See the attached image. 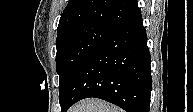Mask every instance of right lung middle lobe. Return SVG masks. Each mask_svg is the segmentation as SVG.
<instances>
[{
	"label": "right lung middle lobe",
	"instance_id": "1",
	"mask_svg": "<svg viewBox=\"0 0 193 112\" xmlns=\"http://www.w3.org/2000/svg\"><path fill=\"white\" fill-rule=\"evenodd\" d=\"M114 31L95 25H83L58 33L56 67L59 74V97L62 106L73 81L88 57Z\"/></svg>",
	"mask_w": 193,
	"mask_h": 112
}]
</instances>
